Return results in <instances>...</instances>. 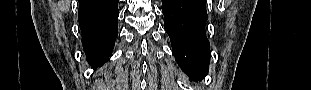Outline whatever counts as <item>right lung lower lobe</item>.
I'll return each mask as SVG.
<instances>
[{"mask_svg": "<svg viewBox=\"0 0 311 90\" xmlns=\"http://www.w3.org/2000/svg\"><path fill=\"white\" fill-rule=\"evenodd\" d=\"M118 0H79V25L87 61L101 66L113 51L118 34Z\"/></svg>", "mask_w": 311, "mask_h": 90, "instance_id": "1", "label": "right lung lower lobe"}]
</instances>
